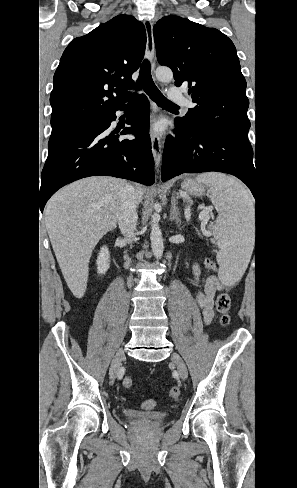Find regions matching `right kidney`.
<instances>
[{"label": "right kidney", "mask_w": 297, "mask_h": 488, "mask_svg": "<svg viewBox=\"0 0 297 488\" xmlns=\"http://www.w3.org/2000/svg\"><path fill=\"white\" fill-rule=\"evenodd\" d=\"M97 272L98 274H105L110 267V254L106 246H103L97 258Z\"/></svg>", "instance_id": "right-kidney-1"}]
</instances>
